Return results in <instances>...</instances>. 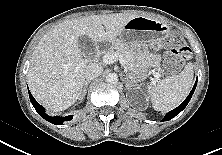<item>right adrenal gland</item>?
Listing matches in <instances>:
<instances>
[{"label":"right adrenal gland","mask_w":222,"mask_h":155,"mask_svg":"<svg viewBox=\"0 0 222 155\" xmlns=\"http://www.w3.org/2000/svg\"><path fill=\"white\" fill-rule=\"evenodd\" d=\"M90 82H91V80L85 81V83H84V88H83V90H82V95H81V97H80L81 100L85 97L86 92H87V87H88V84H89Z\"/></svg>","instance_id":"2a0ac1e0"}]
</instances>
